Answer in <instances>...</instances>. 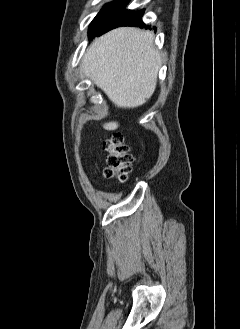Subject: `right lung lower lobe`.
Listing matches in <instances>:
<instances>
[{"label": "right lung lower lobe", "instance_id": "98d812e1", "mask_svg": "<svg viewBox=\"0 0 240 329\" xmlns=\"http://www.w3.org/2000/svg\"><path fill=\"white\" fill-rule=\"evenodd\" d=\"M129 0H122L103 20L101 25L95 31L93 36H100L107 31L119 27V26H140L147 29V27L142 22V16L144 10L134 12L131 10H126L125 6L128 4ZM92 36V37H93Z\"/></svg>", "mask_w": 240, "mask_h": 329}]
</instances>
